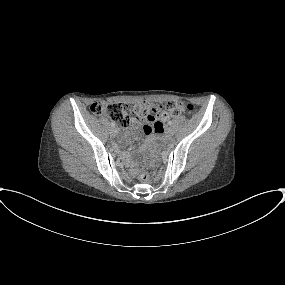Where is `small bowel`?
<instances>
[{
	"mask_svg": "<svg viewBox=\"0 0 285 285\" xmlns=\"http://www.w3.org/2000/svg\"><path fill=\"white\" fill-rule=\"evenodd\" d=\"M156 109L160 111L161 109L156 106ZM141 121L136 117H132L130 121V127L127 131L128 135L132 136L133 138H139V134L136 132L138 127L140 126ZM161 127V122L153 120L151 118H146V122L143 124V131L148 137H152L154 132H157ZM118 151L122 153V149L117 147Z\"/></svg>",
	"mask_w": 285,
	"mask_h": 285,
	"instance_id": "obj_1",
	"label": "small bowel"
}]
</instances>
